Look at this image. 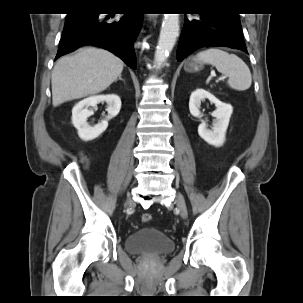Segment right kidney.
I'll return each instance as SVG.
<instances>
[{
    "label": "right kidney",
    "instance_id": "1",
    "mask_svg": "<svg viewBox=\"0 0 303 303\" xmlns=\"http://www.w3.org/2000/svg\"><path fill=\"white\" fill-rule=\"evenodd\" d=\"M101 102H106L108 116L94 126L87 123V118L92 115L89 107H95ZM121 109V99L118 95H98L88 97L78 102L72 109V123L78 131L79 137L84 141H90L100 136L108 127V120L115 117Z\"/></svg>",
    "mask_w": 303,
    "mask_h": 303
}]
</instances>
